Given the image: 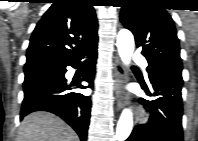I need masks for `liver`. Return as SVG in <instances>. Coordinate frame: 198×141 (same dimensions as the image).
Returning <instances> with one entry per match:
<instances>
[{
    "instance_id": "6515ba94",
    "label": "liver",
    "mask_w": 198,
    "mask_h": 141,
    "mask_svg": "<svg viewBox=\"0 0 198 141\" xmlns=\"http://www.w3.org/2000/svg\"><path fill=\"white\" fill-rule=\"evenodd\" d=\"M17 141H78V136L61 118L40 111L23 119Z\"/></svg>"
}]
</instances>
